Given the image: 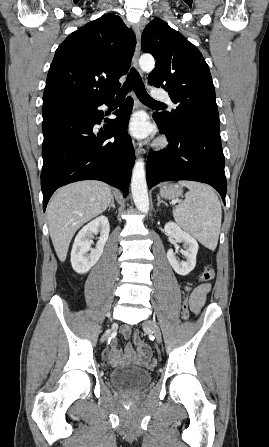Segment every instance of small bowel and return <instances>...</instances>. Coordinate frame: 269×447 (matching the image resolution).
Returning a JSON list of instances; mask_svg holds the SVG:
<instances>
[{
    "label": "small bowel",
    "instance_id": "c3829d8e",
    "mask_svg": "<svg viewBox=\"0 0 269 447\" xmlns=\"http://www.w3.org/2000/svg\"><path fill=\"white\" fill-rule=\"evenodd\" d=\"M211 290V285L208 283H202L196 287H185V291L190 293L189 305L193 313L198 314L203 308L206 297ZM120 333L123 337L127 338L131 334L129 327H122ZM142 333L136 332L134 335V344L137 348L138 353H135L134 346L128 343L124 348V354H122L116 345L111 347L109 353V363L112 366H119L125 361H132L133 363L144 366L143 360L146 357L152 358V356H144L142 350L144 347H150L147 343L141 340ZM153 360V359H152Z\"/></svg>",
    "mask_w": 269,
    "mask_h": 447
}]
</instances>
